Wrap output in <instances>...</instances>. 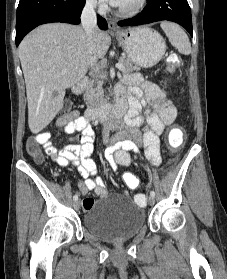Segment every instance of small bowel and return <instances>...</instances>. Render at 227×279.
Returning <instances> with one entry per match:
<instances>
[{"mask_svg":"<svg viewBox=\"0 0 227 279\" xmlns=\"http://www.w3.org/2000/svg\"><path fill=\"white\" fill-rule=\"evenodd\" d=\"M117 100L128 102V112L119 125V132L108 137L110 126L104 127V134L111 144L104 153L106 161L113 169L130 164L129 151L136 152L141 143L145 147L146 158L155 166L161 163L160 134L174 123L177 110L172 100L155 83L143 81L137 74H129L122 84L116 87ZM148 107L144 114L142 108ZM55 127L67 135L81 131L72 136L67 144L58 149L51 141V132H43L31 141L41 144L51 160L60 166L76 165L83 180L78 186L83 194L94 190L100 198L107 192L101 177L96 176V164L91 158L95 133L89 121L78 111L58 117ZM95 199L85 198L82 202L84 210L89 211L95 205Z\"/></svg>","mask_w":227,"mask_h":279,"instance_id":"1","label":"small bowel"}]
</instances>
